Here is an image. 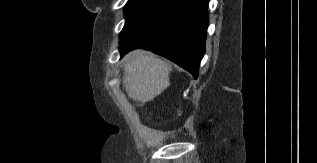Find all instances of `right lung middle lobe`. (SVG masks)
<instances>
[{
	"mask_svg": "<svg viewBox=\"0 0 317 163\" xmlns=\"http://www.w3.org/2000/svg\"><path fill=\"white\" fill-rule=\"evenodd\" d=\"M177 0H128L125 7L126 22L120 39L145 28L164 14Z\"/></svg>",
	"mask_w": 317,
	"mask_h": 163,
	"instance_id": "1",
	"label": "right lung middle lobe"
}]
</instances>
